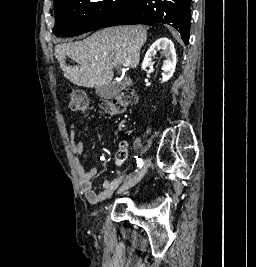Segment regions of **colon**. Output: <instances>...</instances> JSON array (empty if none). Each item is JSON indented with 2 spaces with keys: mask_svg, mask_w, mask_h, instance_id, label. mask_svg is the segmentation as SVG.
<instances>
[{
  "mask_svg": "<svg viewBox=\"0 0 256 267\" xmlns=\"http://www.w3.org/2000/svg\"><path fill=\"white\" fill-rule=\"evenodd\" d=\"M69 107L73 113L87 114L90 110V102L87 95L82 90H72L68 94ZM134 95L130 89L122 91L117 97L109 98L103 101L102 109L107 114H123L125 110L133 103ZM126 151L122 149L118 153V159L123 160Z\"/></svg>",
  "mask_w": 256,
  "mask_h": 267,
  "instance_id": "5ec220e1",
  "label": "colon"
}]
</instances>
